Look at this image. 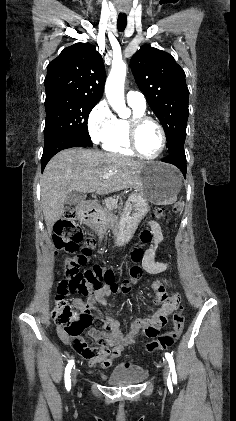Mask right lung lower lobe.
<instances>
[{
    "label": "right lung lower lobe",
    "instance_id": "98d812e1",
    "mask_svg": "<svg viewBox=\"0 0 236 421\" xmlns=\"http://www.w3.org/2000/svg\"><path fill=\"white\" fill-rule=\"evenodd\" d=\"M71 147H91L85 143L80 142L77 139L67 137V136H60L56 137L55 139L51 140L47 144H44V151L41 158V167L42 171L44 170L48 161L59 151Z\"/></svg>",
    "mask_w": 236,
    "mask_h": 421
}]
</instances>
